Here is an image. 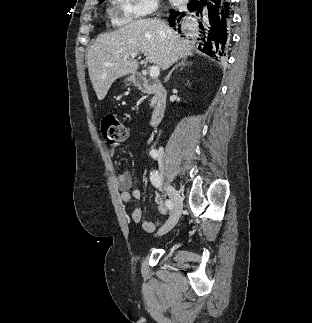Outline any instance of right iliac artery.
Wrapping results in <instances>:
<instances>
[{
	"instance_id": "1",
	"label": "right iliac artery",
	"mask_w": 312,
	"mask_h": 323,
	"mask_svg": "<svg viewBox=\"0 0 312 323\" xmlns=\"http://www.w3.org/2000/svg\"><path fill=\"white\" fill-rule=\"evenodd\" d=\"M150 155H151V157H152V158L156 159V158L158 157L159 153H158L157 151H151V152H150ZM150 181H151V183H152L155 187H157V188H159L160 190H162V189H161V186H162V184H161V180H160V177H159V174H158V172H157V171H153V172H151V174H150ZM165 203H166L167 208H169V209H173L174 205H173V203H172V201H171V200H168V199H167V200L165 201Z\"/></svg>"
}]
</instances>
